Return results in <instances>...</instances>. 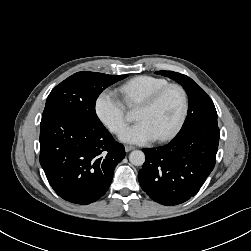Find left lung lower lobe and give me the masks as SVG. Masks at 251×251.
Returning a JSON list of instances; mask_svg holds the SVG:
<instances>
[{
    "label": "left lung lower lobe",
    "mask_w": 251,
    "mask_h": 251,
    "mask_svg": "<svg viewBox=\"0 0 251 251\" xmlns=\"http://www.w3.org/2000/svg\"><path fill=\"white\" fill-rule=\"evenodd\" d=\"M219 136L218 126H200L164 146L143 149L146 160L138 173L143 191L166 206L189 200L215 166Z\"/></svg>",
    "instance_id": "1"
}]
</instances>
